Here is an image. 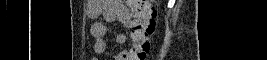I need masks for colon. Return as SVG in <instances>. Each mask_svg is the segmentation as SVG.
<instances>
[{"mask_svg": "<svg viewBox=\"0 0 267 60\" xmlns=\"http://www.w3.org/2000/svg\"><path fill=\"white\" fill-rule=\"evenodd\" d=\"M152 0H127L136 38L132 47V60H145L151 45L150 37L156 29V9Z\"/></svg>", "mask_w": 267, "mask_h": 60, "instance_id": "colon-1", "label": "colon"}]
</instances>
